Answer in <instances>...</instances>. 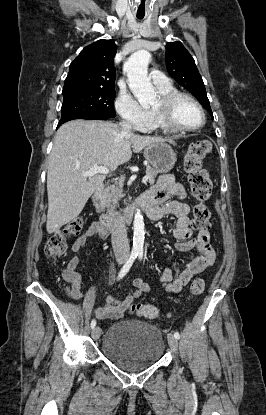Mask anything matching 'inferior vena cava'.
Here are the masks:
<instances>
[{
	"instance_id": "1",
	"label": "inferior vena cava",
	"mask_w": 266,
	"mask_h": 415,
	"mask_svg": "<svg viewBox=\"0 0 266 415\" xmlns=\"http://www.w3.org/2000/svg\"><path fill=\"white\" fill-rule=\"evenodd\" d=\"M119 125L122 128L123 135L131 133L132 127L129 123L120 122ZM111 240L116 258H128L130 255V247L127 238V229L124 218L120 215L117 216L113 224Z\"/></svg>"
}]
</instances>
